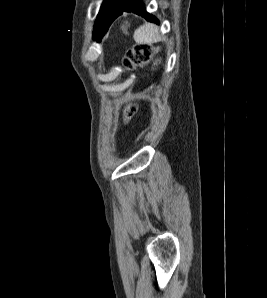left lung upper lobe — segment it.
<instances>
[{
	"label": "left lung upper lobe",
	"instance_id": "left-lung-upper-lobe-1",
	"mask_svg": "<svg viewBox=\"0 0 267 298\" xmlns=\"http://www.w3.org/2000/svg\"><path fill=\"white\" fill-rule=\"evenodd\" d=\"M120 1H122V0H104V2L102 3L100 11H102L106 7L117 4Z\"/></svg>",
	"mask_w": 267,
	"mask_h": 298
}]
</instances>
